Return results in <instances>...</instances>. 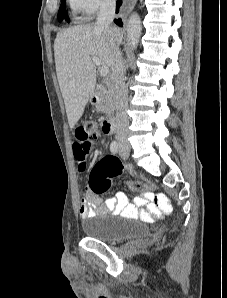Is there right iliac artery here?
Returning <instances> with one entry per match:
<instances>
[{
  "label": "right iliac artery",
  "mask_w": 227,
  "mask_h": 298,
  "mask_svg": "<svg viewBox=\"0 0 227 298\" xmlns=\"http://www.w3.org/2000/svg\"><path fill=\"white\" fill-rule=\"evenodd\" d=\"M119 145L116 141H113L110 145V150L113 154H116L118 152Z\"/></svg>",
  "instance_id": "1"
}]
</instances>
